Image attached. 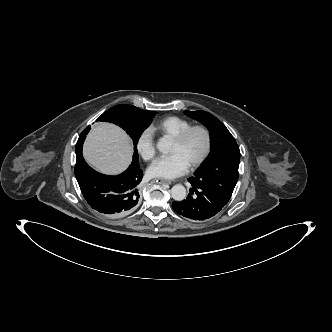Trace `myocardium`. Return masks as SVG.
Returning <instances> with one entry per match:
<instances>
[{
  "mask_svg": "<svg viewBox=\"0 0 332 332\" xmlns=\"http://www.w3.org/2000/svg\"><path fill=\"white\" fill-rule=\"evenodd\" d=\"M194 131H201L204 134L205 146L201 154L189 164L190 168H196L200 166L210 154L212 148V135L209 128L203 124L190 125L173 138L175 143L182 145L187 140L189 135Z\"/></svg>",
  "mask_w": 332,
  "mask_h": 332,
  "instance_id": "f54148a6",
  "label": "myocardium"
}]
</instances>
